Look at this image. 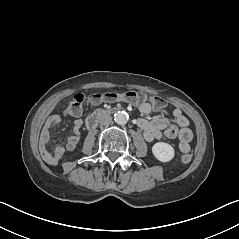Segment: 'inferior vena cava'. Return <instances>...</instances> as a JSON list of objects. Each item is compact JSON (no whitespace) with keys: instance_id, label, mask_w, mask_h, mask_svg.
<instances>
[{"instance_id":"inferior-vena-cava-1","label":"inferior vena cava","mask_w":239,"mask_h":239,"mask_svg":"<svg viewBox=\"0 0 239 239\" xmlns=\"http://www.w3.org/2000/svg\"><path fill=\"white\" fill-rule=\"evenodd\" d=\"M98 121L100 125L108 126L112 122V117L110 114L104 113L99 117Z\"/></svg>"}]
</instances>
